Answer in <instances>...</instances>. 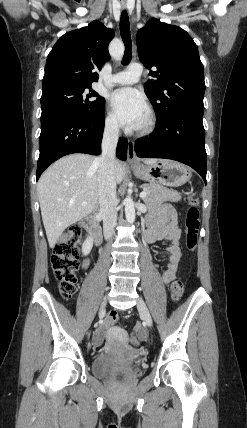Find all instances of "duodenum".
<instances>
[{"label": "duodenum", "instance_id": "1", "mask_svg": "<svg viewBox=\"0 0 247 428\" xmlns=\"http://www.w3.org/2000/svg\"><path fill=\"white\" fill-rule=\"evenodd\" d=\"M83 226L90 232L96 245L102 242V233L95 215H90L82 221Z\"/></svg>", "mask_w": 247, "mask_h": 428}]
</instances>
